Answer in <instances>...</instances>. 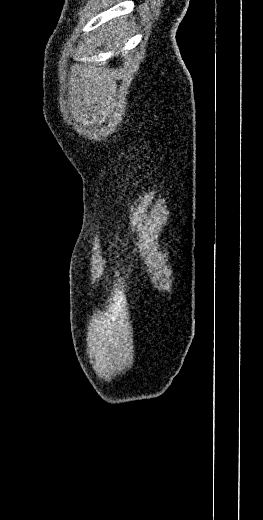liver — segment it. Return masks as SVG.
<instances>
[{"instance_id":"obj_1","label":"liver","mask_w":263,"mask_h":520,"mask_svg":"<svg viewBox=\"0 0 263 520\" xmlns=\"http://www.w3.org/2000/svg\"><path fill=\"white\" fill-rule=\"evenodd\" d=\"M124 27H125V25L121 24V23H118L117 25L113 26V29L111 31L112 37H114L115 39H118V37H120V34L123 31Z\"/></svg>"}]
</instances>
